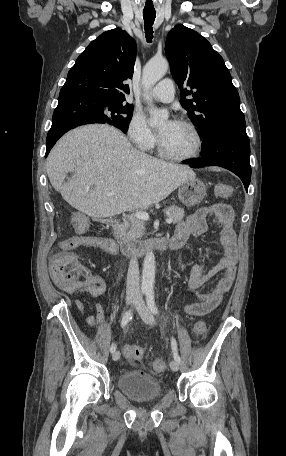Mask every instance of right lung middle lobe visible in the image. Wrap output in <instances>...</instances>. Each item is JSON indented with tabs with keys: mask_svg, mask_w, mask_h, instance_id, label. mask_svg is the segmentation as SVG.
<instances>
[{
	"mask_svg": "<svg viewBox=\"0 0 286 456\" xmlns=\"http://www.w3.org/2000/svg\"><path fill=\"white\" fill-rule=\"evenodd\" d=\"M93 99V103L87 105L84 111L85 124L108 123L126 133L133 115V105L97 96H93Z\"/></svg>",
	"mask_w": 286,
	"mask_h": 456,
	"instance_id": "1",
	"label": "right lung middle lobe"
}]
</instances>
